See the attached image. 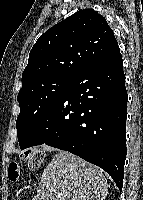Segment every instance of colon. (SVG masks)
Masks as SVG:
<instances>
[{"instance_id":"obj_1","label":"colon","mask_w":143,"mask_h":200,"mask_svg":"<svg viewBox=\"0 0 143 200\" xmlns=\"http://www.w3.org/2000/svg\"><path fill=\"white\" fill-rule=\"evenodd\" d=\"M45 154L39 148H30L20 154V159L24 161L30 170H38L43 164ZM20 166L17 161H12L8 166V178L16 182L20 177Z\"/></svg>"}]
</instances>
